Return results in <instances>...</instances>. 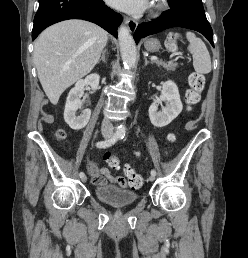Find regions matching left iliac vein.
I'll return each mask as SVG.
<instances>
[{
	"label": "left iliac vein",
	"instance_id": "4c4485c4",
	"mask_svg": "<svg viewBox=\"0 0 248 258\" xmlns=\"http://www.w3.org/2000/svg\"><path fill=\"white\" fill-rule=\"evenodd\" d=\"M154 180H155V176H154V175H150V176H149V181L152 182V181H154Z\"/></svg>",
	"mask_w": 248,
	"mask_h": 258
}]
</instances>
